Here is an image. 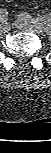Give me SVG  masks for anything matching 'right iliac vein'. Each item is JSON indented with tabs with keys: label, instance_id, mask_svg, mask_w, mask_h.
<instances>
[{
	"label": "right iliac vein",
	"instance_id": "63e3f726",
	"mask_svg": "<svg viewBox=\"0 0 51 153\" xmlns=\"http://www.w3.org/2000/svg\"><path fill=\"white\" fill-rule=\"evenodd\" d=\"M0 30L5 33L9 32L11 30V26L9 25L8 22H2L0 25Z\"/></svg>",
	"mask_w": 51,
	"mask_h": 153
}]
</instances>
